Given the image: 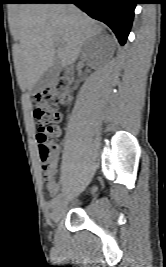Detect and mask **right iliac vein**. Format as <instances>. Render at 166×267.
<instances>
[{"mask_svg": "<svg viewBox=\"0 0 166 267\" xmlns=\"http://www.w3.org/2000/svg\"><path fill=\"white\" fill-rule=\"evenodd\" d=\"M66 211V204L65 203H59L53 211L52 219L54 222H58L65 214Z\"/></svg>", "mask_w": 166, "mask_h": 267, "instance_id": "63e3f726", "label": "right iliac vein"}]
</instances>
